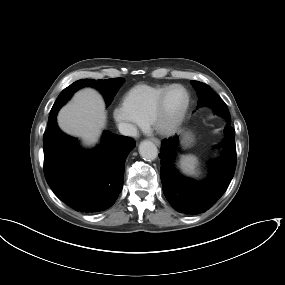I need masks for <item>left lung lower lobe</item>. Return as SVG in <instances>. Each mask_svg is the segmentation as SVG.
I'll use <instances>...</instances> for the list:
<instances>
[{
	"label": "left lung lower lobe",
	"instance_id": "left-lung-lower-lobe-1",
	"mask_svg": "<svg viewBox=\"0 0 285 285\" xmlns=\"http://www.w3.org/2000/svg\"><path fill=\"white\" fill-rule=\"evenodd\" d=\"M222 103L221 99L212 100L211 107L220 109ZM226 120L225 139L217 146L222 148V156L211 162L210 175L204 182L185 178L175 169L173 162L178 150V137L163 140L159 154L162 187L165 197L176 211L185 214L207 211L232 180L236 168L235 130L230 125L231 118Z\"/></svg>",
	"mask_w": 285,
	"mask_h": 285
}]
</instances>
